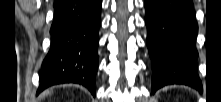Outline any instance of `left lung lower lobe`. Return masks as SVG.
I'll return each instance as SVG.
<instances>
[{"label":"left lung lower lobe","instance_id":"1","mask_svg":"<svg viewBox=\"0 0 221 102\" xmlns=\"http://www.w3.org/2000/svg\"><path fill=\"white\" fill-rule=\"evenodd\" d=\"M152 92L169 84L201 90L197 74L198 25L191 0H145Z\"/></svg>","mask_w":221,"mask_h":102}]
</instances>
